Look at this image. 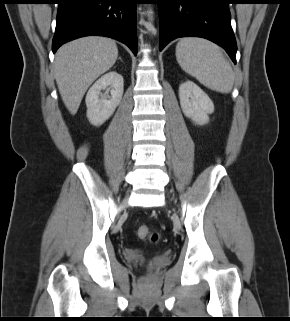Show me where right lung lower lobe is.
<instances>
[{
  "label": "right lung lower lobe",
  "mask_w": 290,
  "mask_h": 321,
  "mask_svg": "<svg viewBox=\"0 0 290 321\" xmlns=\"http://www.w3.org/2000/svg\"><path fill=\"white\" fill-rule=\"evenodd\" d=\"M137 0H59L52 50L83 36H107L137 54Z\"/></svg>",
  "instance_id": "right-lung-lower-lobe-1"
}]
</instances>
